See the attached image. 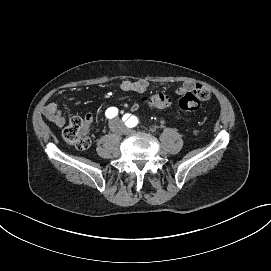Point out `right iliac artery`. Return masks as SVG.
<instances>
[{"mask_svg":"<svg viewBox=\"0 0 271 271\" xmlns=\"http://www.w3.org/2000/svg\"><path fill=\"white\" fill-rule=\"evenodd\" d=\"M118 114V109L116 107H110L106 110L105 115L107 118H113Z\"/></svg>","mask_w":271,"mask_h":271,"instance_id":"82829eb1","label":"right iliac artery"}]
</instances>
